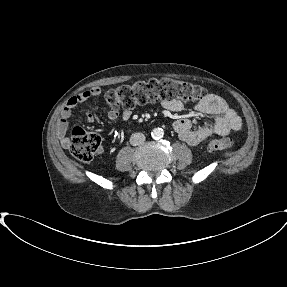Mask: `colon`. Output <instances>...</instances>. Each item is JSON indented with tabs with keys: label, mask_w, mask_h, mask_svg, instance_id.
Returning <instances> with one entry per match:
<instances>
[{
	"label": "colon",
	"mask_w": 287,
	"mask_h": 287,
	"mask_svg": "<svg viewBox=\"0 0 287 287\" xmlns=\"http://www.w3.org/2000/svg\"><path fill=\"white\" fill-rule=\"evenodd\" d=\"M208 97L207 91L198 85L180 82L172 79H150L138 81L110 90L105 95V101L114 109L122 107L132 109L136 105H144L158 100H180L186 103L199 104ZM101 137L81 127L72 130L69 139V149L72 156L81 162H89L101 149ZM233 145L230 138L212 139L208 150L224 151Z\"/></svg>",
	"instance_id": "colon-1"
}]
</instances>
